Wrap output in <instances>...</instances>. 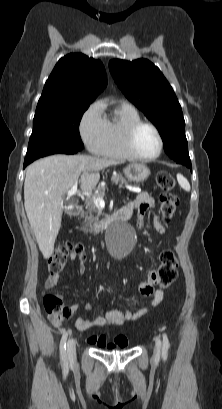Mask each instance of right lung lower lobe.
Segmentation results:
<instances>
[{"label":"right lung lower lobe","instance_id":"obj_1","mask_svg":"<svg viewBox=\"0 0 222 409\" xmlns=\"http://www.w3.org/2000/svg\"><path fill=\"white\" fill-rule=\"evenodd\" d=\"M76 152H77V151H76ZM28 164H30V163L24 162V168H25Z\"/></svg>","mask_w":222,"mask_h":409}]
</instances>
